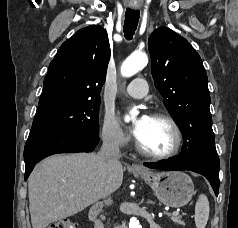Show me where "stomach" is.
<instances>
[{
	"label": "stomach",
	"instance_id": "0dacf381",
	"mask_svg": "<svg viewBox=\"0 0 238 228\" xmlns=\"http://www.w3.org/2000/svg\"><path fill=\"white\" fill-rule=\"evenodd\" d=\"M155 192L158 199L166 206L179 208L192 199L194 185L191 178L180 171L141 172L134 171Z\"/></svg>",
	"mask_w": 238,
	"mask_h": 228
}]
</instances>
